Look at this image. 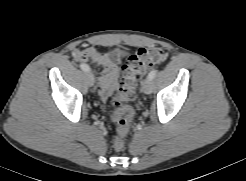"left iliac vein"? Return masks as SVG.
<instances>
[{
	"instance_id": "obj_1",
	"label": "left iliac vein",
	"mask_w": 246,
	"mask_h": 181,
	"mask_svg": "<svg viewBox=\"0 0 246 181\" xmlns=\"http://www.w3.org/2000/svg\"><path fill=\"white\" fill-rule=\"evenodd\" d=\"M152 79L146 78L141 84V91L145 94H150L152 92Z\"/></svg>"
}]
</instances>
